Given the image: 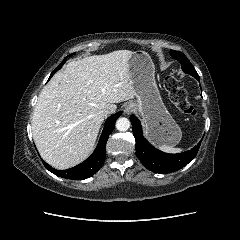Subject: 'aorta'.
Segmentation results:
<instances>
[{
	"label": "aorta",
	"instance_id": "aorta-1",
	"mask_svg": "<svg viewBox=\"0 0 240 240\" xmlns=\"http://www.w3.org/2000/svg\"><path fill=\"white\" fill-rule=\"evenodd\" d=\"M130 121L125 117L118 118L116 121V128L119 131H127L130 128Z\"/></svg>",
	"mask_w": 240,
	"mask_h": 240
}]
</instances>
